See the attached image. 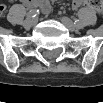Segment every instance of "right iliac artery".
<instances>
[{
  "label": "right iliac artery",
  "mask_w": 103,
  "mask_h": 103,
  "mask_svg": "<svg viewBox=\"0 0 103 103\" xmlns=\"http://www.w3.org/2000/svg\"><path fill=\"white\" fill-rule=\"evenodd\" d=\"M37 15H39V10L38 9H32L27 13V18H34Z\"/></svg>",
  "instance_id": "obj_1"
}]
</instances>
